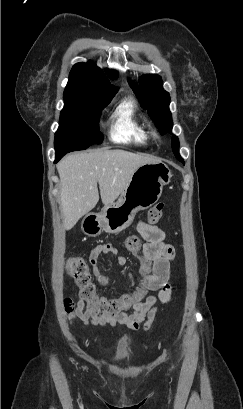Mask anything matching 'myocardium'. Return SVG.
I'll use <instances>...</instances> for the list:
<instances>
[{
	"instance_id": "f54148a6",
	"label": "myocardium",
	"mask_w": 243,
	"mask_h": 409,
	"mask_svg": "<svg viewBox=\"0 0 243 409\" xmlns=\"http://www.w3.org/2000/svg\"><path fill=\"white\" fill-rule=\"evenodd\" d=\"M155 138H156L157 140H159V139H160V136H159L158 134H155Z\"/></svg>"
}]
</instances>
